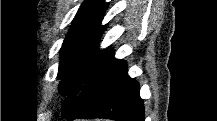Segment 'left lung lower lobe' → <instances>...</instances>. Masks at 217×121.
I'll return each mask as SVG.
<instances>
[{"label": "left lung lower lobe", "instance_id": "obj_1", "mask_svg": "<svg viewBox=\"0 0 217 121\" xmlns=\"http://www.w3.org/2000/svg\"><path fill=\"white\" fill-rule=\"evenodd\" d=\"M76 118L144 121L138 82L128 76L124 60L110 57L83 94L71 120Z\"/></svg>", "mask_w": 217, "mask_h": 121}]
</instances>
